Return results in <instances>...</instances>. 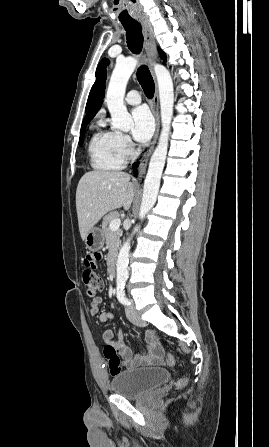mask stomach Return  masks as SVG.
<instances>
[{
	"mask_svg": "<svg viewBox=\"0 0 269 447\" xmlns=\"http://www.w3.org/2000/svg\"><path fill=\"white\" fill-rule=\"evenodd\" d=\"M85 243L90 251L101 249L104 245L103 229H100V227H92V229L86 233Z\"/></svg>",
	"mask_w": 269,
	"mask_h": 447,
	"instance_id": "obj_1",
	"label": "stomach"
}]
</instances>
